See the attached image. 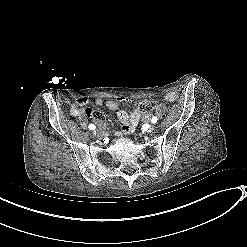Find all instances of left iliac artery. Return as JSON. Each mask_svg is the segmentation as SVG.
Returning a JSON list of instances; mask_svg holds the SVG:
<instances>
[{
    "mask_svg": "<svg viewBox=\"0 0 247 247\" xmlns=\"http://www.w3.org/2000/svg\"><path fill=\"white\" fill-rule=\"evenodd\" d=\"M157 117L156 116H154L153 118H152V120H151V122L153 123V124H155L156 122H157Z\"/></svg>",
    "mask_w": 247,
    "mask_h": 247,
    "instance_id": "left-iliac-artery-1",
    "label": "left iliac artery"
}]
</instances>
